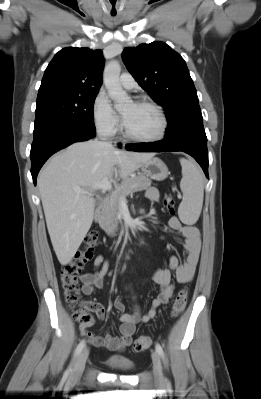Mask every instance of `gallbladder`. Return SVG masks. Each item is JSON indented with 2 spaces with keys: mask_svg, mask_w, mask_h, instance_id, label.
<instances>
[{
  "mask_svg": "<svg viewBox=\"0 0 261 399\" xmlns=\"http://www.w3.org/2000/svg\"><path fill=\"white\" fill-rule=\"evenodd\" d=\"M101 202V198L99 196L95 197V205L98 206Z\"/></svg>",
  "mask_w": 261,
  "mask_h": 399,
  "instance_id": "gallbladder-1",
  "label": "gallbladder"
}]
</instances>
